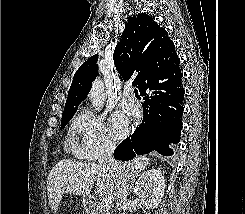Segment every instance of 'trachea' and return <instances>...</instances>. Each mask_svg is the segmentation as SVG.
I'll return each mask as SVG.
<instances>
[{
    "instance_id": "obj_1",
    "label": "trachea",
    "mask_w": 245,
    "mask_h": 214,
    "mask_svg": "<svg viewBox=\"0 0 245 214\" xmlns=\"http://www.w3.org/2000/svg\"><path fill=\"white\" fill-rule=\"evenodd\" d=\"M134 93H135V97L139 98V94H138V90L137 89L134 90Z\"/></svg>"
}]
</instances>
